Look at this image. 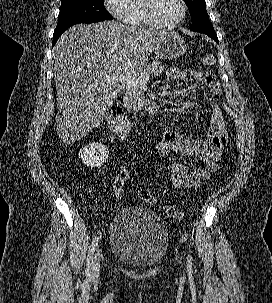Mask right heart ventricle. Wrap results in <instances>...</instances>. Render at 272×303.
I'll use <instances>...</instances> for the list:
<instances>
[{
    "label": "right heart ventricle",
    "instance_id": "1",
    "mask_svg": "<svg viewBox=\"0 0 272 303\" xmlns=\"http://www.w3.org/2000/svg\"><path fill=\"white\" fill-rule=\"evenodd\" d=\"M144 0H130L125 22L131 26H147L143 8Z\"/></svg>",
    "mask_w": 272,
    "mask_h": 303
}]
</instances>
